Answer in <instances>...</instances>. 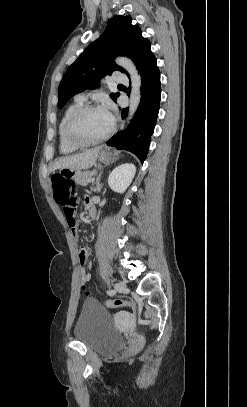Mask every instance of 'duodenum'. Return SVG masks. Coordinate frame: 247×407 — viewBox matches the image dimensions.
Segmentation results:
<instances>
[{
  "instance_id": "1",
  "label": "duodenum",
  "mask_w": 247,
  "mask_h": 407,
  "mask_svg": "<svg viewBox=\"0 0 247 407\" xmlns=\"http://www.w3.org/2000/svg\"><path fill=\"white\" fill-rule=\"evenodd\" d=\"M88 215L90 218H94L96 215V208L93 202H89L87 204Z\"/></svg>"
}]
</instances>
